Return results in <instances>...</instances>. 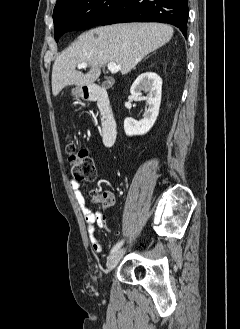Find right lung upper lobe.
I'll list each match as a JSON object with an SVG mask.
<instances>
[{"label":"right lung upper lobe","instance_id":"right-lung-upper-lobe-1","mask_svg":"<svg viewBox=\"0 0 240 329\" xmlns=\"http://www.w3.org/2000/svg\"><path fill=\"white\" fill-rule=\"evenodd\" d=\"M68 1L69 0H57V3L55 5V8L54 9H57V8L61 7L63 4H65Z\"/></svg>","mask_w":240,"mask_h":329}]
</instances>
